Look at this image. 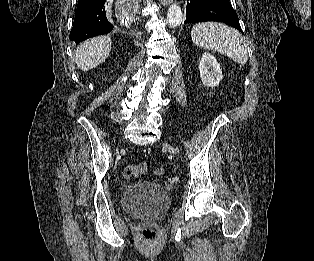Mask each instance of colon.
Returning a JSON list of instances; mask_svg holds the SVG:
<instances>
[{"instance_id":"obj_1","label":"colon","mask_w":314,"mask_h":261,"mask_svg":"<svg viewBox=\"0 0 314 261\" xmlns=\"http://www.w3.org/2000/svg\"><path fill=\"white\" fill-rule=\"evenodd\" d=\"M147 171V166L143 163L137 165H129L126 166L123 171V176L127 180H133L138 176L144 174ZM143 236L148 239L152 240L156 236V228L151 225H146L142 228Z\"/></svg>"}]
</instances>
